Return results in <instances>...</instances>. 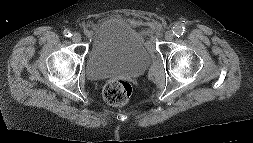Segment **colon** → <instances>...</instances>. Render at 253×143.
Listing matches in <instances>:
<instances>
[{"instance_id":"obj_1","label":"colon","mask_w":253,"mask_h":143,"mask_svg":"<svg viewBox=\"0 0 253 143\" xmlns=\"http://www.w3.org/2000/svg\"><path fill=\"white\" fill-rule=\"evenodd\" d=\"M132 95L131 85L124 80L110 81L104 88L103 96L108 104L119 106L127 103Z\"/></svg>"}]
</instances>
